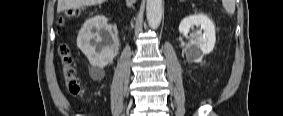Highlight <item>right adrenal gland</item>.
Wrapping results in <instances>:
<instances>
[{
	"label": "right adrenal gland",
	"instance_id": "right-adrenal-gland-1",
	"mask_svg": "<svg viewBox=\"0 0 283 116\" xmlns=\"http://www.w3.org/2000/svg\"><path fill=\"white\" fill-rule=\"evenodd\" d=\"M133 2H134L133 0H126V6L127 7H132V3Z\"/></svg>",
	"mask_w": 283,
	"mask_h": 116
}]
</instances>
